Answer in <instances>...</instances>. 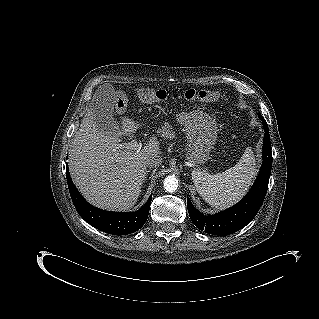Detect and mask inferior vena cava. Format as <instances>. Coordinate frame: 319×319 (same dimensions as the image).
<instances>
[{"instance_id":"1","label":"inferior vena cava","mask_w":319,"mask_h":319,"mask_svg":"<svg viewBox=\"0 0 319 319\" xmlns=\"http://www.w3.org/2000/svg\"><path fill=\"white\" fill-rule=\"evenodd\" d=\"M163 159L160 155L154 154L146 160V166L149 168H154L162 163Z\"/></svg>"}]
</instances>
